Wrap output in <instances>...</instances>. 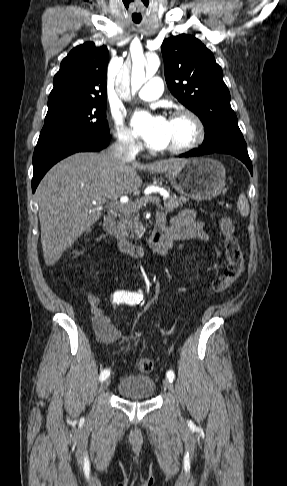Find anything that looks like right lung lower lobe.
<instances>
[{
	"label": "right lung lower lobe",
	"instance_id": "obj_1",
	"mask_svg": "<svg viewBox=\"0 0 287 486\" xmlns=\"http://www.w3.org/2000/svg\"><path fill=\"white\" fill-rule=\"evenodd\" d=\"M110 135L93 141H67L36 146L33 154L32 191L35 192L45 173L61 159L85 151H100L108 146Z\"/></svg>",
	"mask_w": 287,
	"mask_h": 486
}]
</instances>
